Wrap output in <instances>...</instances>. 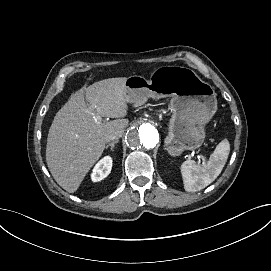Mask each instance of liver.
I'll list each match as a JSON object with an SVG mask.
<instances>
[{"instance_id": "obj_1", "label": "liver", "mask_w": 271, "mask_h": 271, "mask_svg": "<svg viewBox=\"0 0 271 271\" xmlns=\"http://www.w3.org/2000/svg\"><path fill=\"white\" fill-rule=\"evenodd\" d=\"M126 81L125 77L109 78L81 88L56 113L48 133L46 161L55 181L67 192L78 189L100 158L106 137L128 125L127 119L101 121V117L126 116Z\"/></svg>"}]
</instances>
